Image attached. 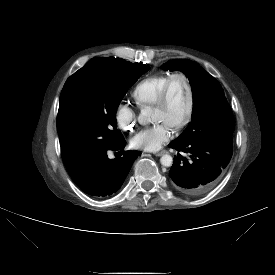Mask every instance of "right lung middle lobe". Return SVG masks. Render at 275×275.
Here are the masks:
<instances>
[{
  "mask_svg": "<svg viewBox=\"0 0 275 275\" xmlns=\"http://www.w3.org/2000/svg\"><path fill=\"white\" fill-rule=\"evenodd\" d=\"M148 69L142 63L96 62L68 78L57 116L64 163L102 154L124 138L116 129L117 108Z\"/></svg>",
  "mask_w": 275,
  "mask_h": 275,
  "instance_id": "right-lung-middle-lobe-1",
  "label": "right lung middle lobe"
}]
</instances>
